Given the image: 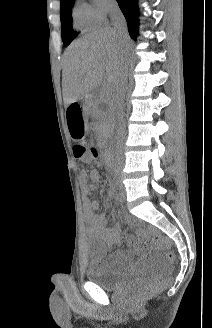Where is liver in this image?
Returning a JSON list of instances; mask_svg holds the SVG:
<instances>
[{
  "label": "liver",
  "mask_w": 212,
  "mask_h": 328,
  "mask_svg": "<svg viewBox=\"0 0 212 328\" xmlns=\"http://www.w3.org/2000/svg\"><path fill=\"white\" fill-rule=\"evenodd\" d=\"M128 36L119 38L104 27L73 42L64 52L62 90L65 104L77 101L102 86L111 94L123 69Z\"/></svg>",
  "instance_id": "liver-1"
}]
</instances>
